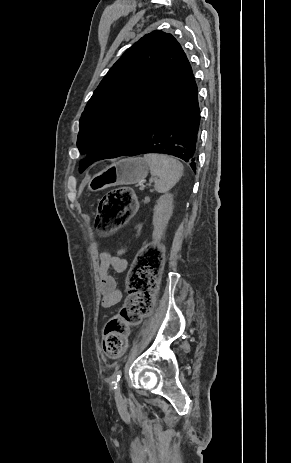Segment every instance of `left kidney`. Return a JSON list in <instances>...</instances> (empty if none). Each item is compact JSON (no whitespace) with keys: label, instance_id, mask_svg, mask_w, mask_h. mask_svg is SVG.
Returning <instances> with one entry per match:
<instances>
[{"label":"left kidney","instance_id":"5707ae66","mask_svg":"<svg viewBox=\"0 0 291 463\" xmlns=\"http://www.w3.org/2000/svg\"><path fill=\"white\" fill-rule=\"evenodd\" d=\"M174 198L173 194L166 193L162 195L158 200L157 204L154 207L153 213V240L159 242L165 232L167 224L173 214L174 208Z\"/></svg>","mask_w":291,"mask_h":463}]
</instances>
